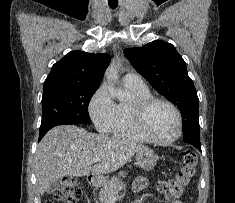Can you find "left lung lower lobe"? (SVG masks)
Instances as JSON below:
<instances>
[{
  "label": "left lung lower lobe",
  "mask_w": 235,
  "mask_h": 203,
  "mask_svg": "<svg viewBox=\"0 0 235 203\" xmlns=\"http://www.w3.org/2000/svg\"><path fill=\"white\" fill-rule=\"evenodd\" d=\"M183 140H184V142L189 143V144L195 146L198 150L201 151L200 142H199V143H198V142H195V141L192 139V136H191L190 134H185V135H183Z\"/></svg>",
  "instance_id": "left-lung-lower-lobe-1"
}]
</instances>
